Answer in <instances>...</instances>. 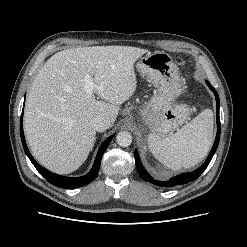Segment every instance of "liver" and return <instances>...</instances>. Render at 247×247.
I'll return each mask as SVG.
<instances>
[{
    "mask_svg": "<svg viewBox=\"0 0 247 247\" xmlns=\"http://www.w3.org/2000/svg\"><path fill=\"white\" fill-rule=\"evenodd\" d=\"M148 50L129 46L67 49L50 57L30 88L24 131L36 160L52 172L68 174L87 159L95 142L96 116L115 123L119 105L136 91L134 63ZM95 85L85 92L84 78ZM94 94L102 100H96Z\"/></svg>",
    "mask_w": 247,
    "mask_h": 247,
    "instance_id": "1",
    "label": "liver"
}]
</instances>
